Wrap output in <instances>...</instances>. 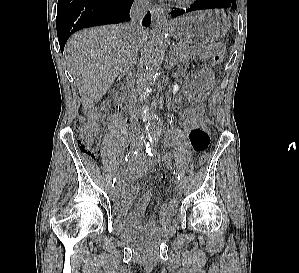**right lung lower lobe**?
<instances>
[{
    "instance_id": "obj_1",
    "label": "right lung lower lobe",
    "mask_w": 299,
    "mask_h": 273,
    "mask_svg": "<svg viewBox=\"0 0 299 273\" xmlns=\"http://www.w3.org/2000/svg\"><path fill=\"white\" fill-rule=\"evenodd\" d=\"M134 0H58L56 28L60 50L63 53L67 39L76 31L98 25L130 20ZM151 23L150 13L142 24Z\"/></svg>"
}]
</instances>
